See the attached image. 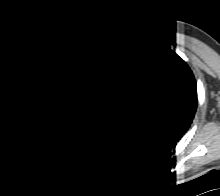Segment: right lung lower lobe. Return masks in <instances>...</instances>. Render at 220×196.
<instances>
[{"label":"right lung lower lobe","instance_id":"1","mask_svg":"<svg viewBox=\"0 0 220 196\" xmlns=\"http://www.w3.org/2000/svg\"><path fill=\"white\" fill-rule=\"evenodd\" d=\"M67 143H70V144H75V143H78V142H69L67 140H65Z\"/></svg>","mask_w":220,"mask_h":196}]
</instances>
